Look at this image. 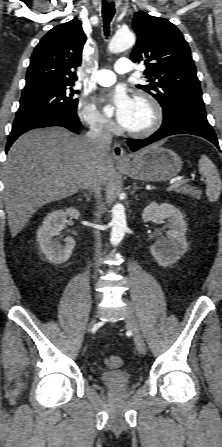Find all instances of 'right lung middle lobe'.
I'll return each instance as SVG.
<instances>
[{
	"instance_id": "1",
	"label": "right lung middle lobe",
	"mask_w": 222,
	"mask_h": 447,
	"mask_svg": "<svg viewBox=\"0 0 222 447\" xmlns=\"http://www.w3.org/2000/svg\"><path fill=\"white\" fill-rule=\"evenodd\" d=\"M69 85H44L23 89L20 107L13 125L41 119L60 112H76L78 91Z\"/></svg>"
}]
</instances>
